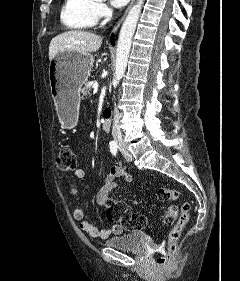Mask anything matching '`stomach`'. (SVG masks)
Instances as JSON below:
<instances>
[{"label":"stomach","mask_w":240,"mask_h":281,"mask_svg":"<svg viewBox=\"0 0 240 281\" xmlns=\"http://www.w3.org/2000/svg\"><path fill=\"white\" fill-rule=\"evenodd\" d=\"M94 63L90 53L63 52L50 61V92L59 118L65 127L78 121L80 90L87 81Z\"/></svg>","instance_id":"obj_1"}]
</instances>
